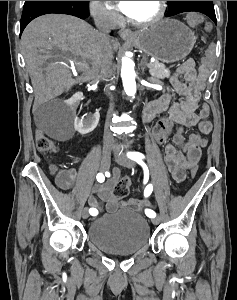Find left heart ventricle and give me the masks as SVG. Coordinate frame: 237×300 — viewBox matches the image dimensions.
<instances>
[{
    "label": "left heart ventricle",
    "instance_id": "obj_1",
    "mask_svg": "<svg viewBox=\"0 0 237 300\" xmlns=\"http://www.w3.org/2000/svg\"><path fill=\"white\" fill-rule=\"evenodd\" d=\"M156 11L157 1H137L129 17L137 21H145L152 18Z\"/></svg>",
    "mask_w": 237,
    "mask_h": 300
}]
</instances>
